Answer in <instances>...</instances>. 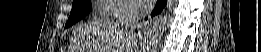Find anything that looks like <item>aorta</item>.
I'll return each instance as SVG.
<instances>
[{"mask_svg":"<svg viewBox=\"0 0 261 52\" xmlns=\"http://www.w3.org/2000/svg\"><path fill=\"white\" fill-rule=\"evenodd\" d=\"M169 23V16L164 15L156 19L143 33L145 45L141 48V52H149L154 50L161 38L166 26Z\"/></svg>","mask_w":261,"mask_h":52,"instance_id":"obj_1","label":"aorta"}]
</instances>
